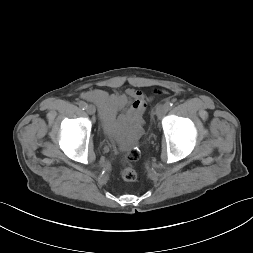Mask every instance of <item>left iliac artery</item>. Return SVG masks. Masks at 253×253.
<instances>
[{"instance_id": "1", "label": "left iliac artery", "mask_w": 253, "mask_h": 253, "mask_svg": "<svg viewBox=\"0 0 253 253\" xmlns=\"http://www.w3.org/2000/svg\"><path fill=\"white\" fill-rule=\"evenodd\" d=\"M173 105H174V103L172 101L167 102L168 108H171Z\"/></svg>"}]
</instances>
